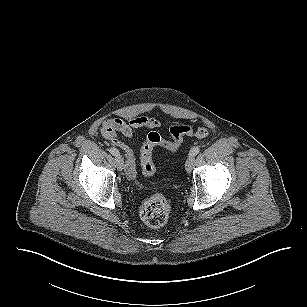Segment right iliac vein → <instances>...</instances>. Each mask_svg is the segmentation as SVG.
Masks as SVG:
<instances>
[{
    "label": "right iliac vein",
    "instance_id": "obj_1",
    "mask_svg": "<svg viewBox=\"0 0 307 307\" xmlns=\"http://www.w3.org/2000/svg\"><path fill=\"white\" fill-rule=\"evenodd\" d=\"M115 161H116V166H117V169L119 170V171H122L123 169H124V160H123V158L119 155V156H116V159H115Z\"/></svg>",
    "mask_w": 307,
    "mask_h": 307
}]
</instances>
